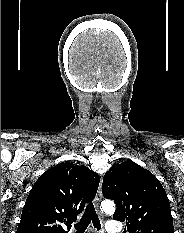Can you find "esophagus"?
Here are the masks:
<instances>
[{
	"label": "esophagus",
	"instance_id": "esophagus-1",
	"mask_svg": "<svg viewBox=\"0 0 184 233\" xmlns=\"http://www.w3.org/2000/svg\"><path fill=\"white\" fill-rule=\"evenodd\" d=\"M101 200H102V179L100 180L98 192H97V195L95 198V206H96L98 212H100L99 204H100Z\"/></svg>",
	"mask_w": 184,
	"mask_h": 233
}]
</instances>
